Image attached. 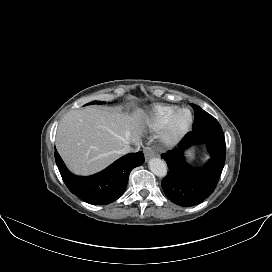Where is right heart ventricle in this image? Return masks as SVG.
Instances as JSON below:
<instances>
[{
  "mask_svg": "<svg viewBox=\"0 0 272 272\" xmlns=\"http://www.w3.org/2000/svg\"><path fill=\"white\" fill-rule=\"evenodd\" d=\"M176 109V106H156L145 116L144 122L152 130L161 129Z\"/></svg>",
  "mask_w": 272,
  "mask_h": 272,
  "instance_id": "1",
  "label": "right heart ventricle"
}]
</instances>
